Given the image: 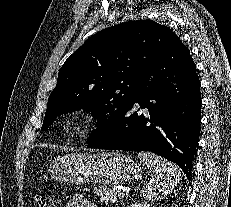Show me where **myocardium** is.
<instances>
[{
	"mask_svg": "<svg viewBox=\"0 0 231 207\" xmlns=\"http://www.w3.org/2000/svg\"><path fill=\"white\" fill-rule=\"evenodd\" d=\"M92 127V117L85 111L73 112L65 123V131L72 137L83 136Z\"/></svg>",
	"mask_w": 231,
	"mask_h": 207,
	"instance_id": "1",
	"label": "myocardium"
}]
</instances>
